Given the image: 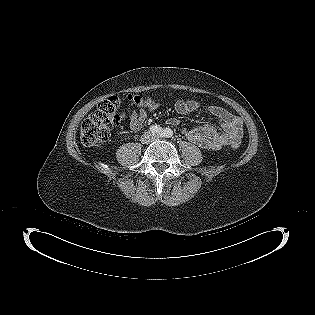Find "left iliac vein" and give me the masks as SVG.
<instances>
[{"mask_svg": "<svg viewBox=\"0 0 315 315\" xmlns=\"http://www.w3.org/2000/svg\"><path fill=\"white\" fill-rule=\"evenodd\" d=\"M160 138V136H153L152 139L153 140H158Z\"/></svg>", "mask_w": 315, "mask_h": 315, "instance_id": "obj_1", "label": "left iliac vein"}]
</instances>
